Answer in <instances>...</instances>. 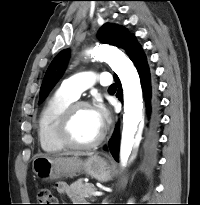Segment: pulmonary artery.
I'll return each mask as SVG.
<instances>
[{"label": "pulmonary artery", "instance_id": "obj_1", "mask_svg": "<svg viewBox=\"0 0 200 205\" xmlns=\"http://www.w3.org/2000/svg\"><path fill=\"white\" fill-rule=\"evenodd\" d=\"M96 83L102 86L110 85L112 83L111 75L108 72H81L65 79L61 83L60 90L77 99L83 91Z\"/></svg>", "mask_w": 200, "mask_h": 205}]
</instances>
